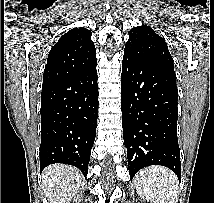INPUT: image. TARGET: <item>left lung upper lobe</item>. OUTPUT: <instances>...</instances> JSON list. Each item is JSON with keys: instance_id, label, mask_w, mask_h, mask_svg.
<instances>
[{"instance_id": "obj_1", "label": "left lung upper lobe", "mask_w": 214, "mask_h": 203, "mask_svg": "<svg viewBox=\"0 0 214 203\" xmlns=\"http://www.w3.org/2000/svg\"><path fill=\"white\" fill-rule=\"evenodd\" d=\"M124 54L175 73L173 59L165 40L149 26H137L129 31Z\"/></svg>"}]
</instances>
